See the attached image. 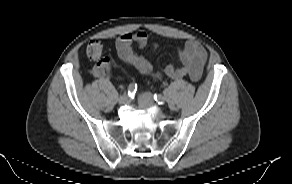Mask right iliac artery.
<instances>
[{
    "label": "right iliac artery",
    "instance_id": "obj_1",
    "mask_svg": "<svg viewBox=\"0 0 292 184\" xmlns=\"http://www.w3.org/2000/svg\"><path fill=\"white\" fill-rule=\"evenodd\" d=\"M136 90H137V84H134V83L130 84L128 87V96L133 98L136 93Z\"/></svg>",
    "mask_w": 292,
    "mask_h": 184
}]
</instances>
